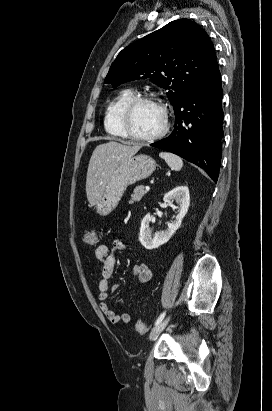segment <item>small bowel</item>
<instances>
[{
  "instance_id": "small-bowel-1",
  "label": "small bowel",
  "mask_w": 272,
  "mask_h": 411,
  "mask_svg": "<svg viewBox=\"0 0 272 411\" xmlns=\"http://www.w3.org/2000/svg\"><path fill=\"white\" fill-rule=\"evenodd\" d=\"M125 249L126 245L123 241L116 239L112 243L111 247L102 244L99 245L95 251V258L101 266V277L98 283L100 309L105 317L113 324L120 322L127 323L131 319L130 313L123 312L119 315L112 308H110L106 302L110 298L111 294L118 288V285H111L110 283L116 265V253ZM132 275L140 283H147L152 278L151 269L145 263H138L134 265L132 268Z\"/></svg>"
}]
</instances>
